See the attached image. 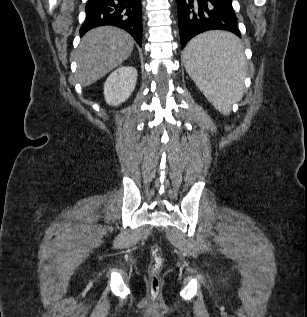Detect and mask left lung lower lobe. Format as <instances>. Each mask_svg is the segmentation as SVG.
<instances>
[{"mask_svg": "<svg viewBox=\"0 0 307 317\" xmlns=\"http://www.w3.org/2000/svg\"><path fill=\"white\" fill-rule=\"evenodd\" d=\"M177 9L182 49L191 38L208 30H226L241 37L232 0H177ZM238 51V44H230L220 50L219 57L227 61Z\"/></svg>", "mask_w": 307, "mask_h": 317, "instance_id": "left-lung-lower-lobe-1", "label": "left lung lower lobe"}]
</instances>
